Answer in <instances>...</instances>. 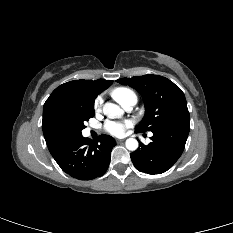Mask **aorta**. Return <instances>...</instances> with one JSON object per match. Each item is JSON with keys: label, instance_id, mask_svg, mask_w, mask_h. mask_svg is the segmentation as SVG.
I'll return each instance as SVG.
<instances>
[{"label": "aorta", "instance_id": "aorta-1", "mask_svg": "<svg viewBox=\"0 0 233 233\" xmlns=\"http://www.w3.org/2000/svg\"><path fill=\"white\" fill-rule=\"evenodd\" d=\"M103 113L108 118H115L122 115L123 110L118 105L107 102L103 106ZM125 145L128 150L135 151L138 148V141L135 138H129Z\"/></svg>", "mask_w": 233, "mask_h": 233}]
</instances>
